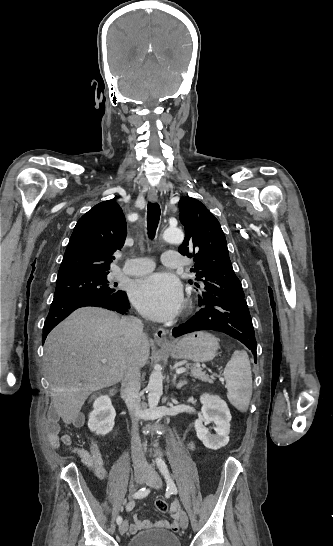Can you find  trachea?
I'll list each match as a JSON object with an SVG mask.
<instances>
[{"mask_svg": "<svg viewBox=\"0 0 333 546\" xmlns=\"http://www.w3.org/2000/svg\"><path fill=\"white\" fill-rule=\"evenodd\" d=\"M147 210L148 234L153 238L160 218V206L157 203L149 202Z\"/></svg>", "mask_w": 333, "mask_h": 546, "instance_id": "3493384b", "label": "trachea"}]
</instances>
